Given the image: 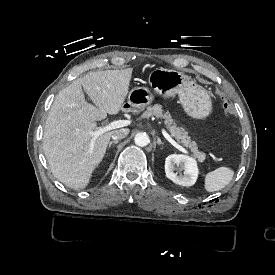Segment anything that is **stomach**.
Segmentation results:
<instances>
[{"instance_id": "stomach-1", "label": "stomach", "mask_w": 275, "mask_h": 275, "mask_svg": "<svg viewBox=\"0 0 275 275\" xmlns=\"http://www.w3.org/2000/svg\"><path fill=\"white\" fill-rule=\"evenodd\" d=\"M148 87H135L128 93V101L123 104L125 112H141L155 100V94L164 98L178 95L184 112L193 119H205L213 112V100L209 91L194 79L176 70L148 67L143 72Z\"/></svg>"}]
</instances>
